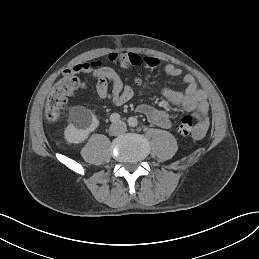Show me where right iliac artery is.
<instances>
[{
	"label": "right iliac artery",
	"mask_w": 259,
	"mask_h": 259,
	"mask_svg": "<svg viewBox=\"0 0 259 259\" xmlns=\"http://www.w3.org/2000/svg\"><path fill=\"white\" fill-rule=\"evenodd\" d=\"M120 120V115L118 113H113L110 116V121L113 123H117Z\"/></svg>",
	"instance_id": "obj_1"
}]
</instances>
